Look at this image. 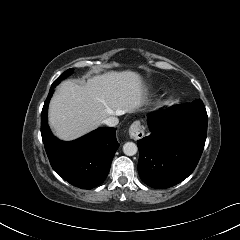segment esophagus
Wrapping results in <instances>:
<instances>
[{
    "label": "esophagus",
    "instance_id": "1",
    "mask_svg": "<svg viewBox=\"0 0 240 240\" xmlns=\"http://www.w3.org/2000/svg\"><path fill=\"white\" fill-rule=\"evenodd\" d=\"M130 138L133 140H139L144 137V130L139 121H135L129 128Z\"/></svg>",
    "mask_w": 240,
    "mask_h": 240
}]
</instances>
